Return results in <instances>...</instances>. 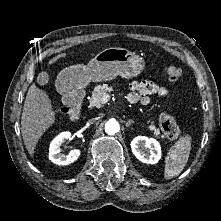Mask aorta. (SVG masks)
Instances as JSON below:
<instances>
[{"label": "aorta", "instance_id": "aorta-1", "mask_svg": "<svg viewBox=\"0 0 221 221\" xmlns=\"http://www.w3.org/2000/svg\"><path fill=\"white\" fill-rule=\"evenodd\" d=\"M120 130L119 123L115 119H110L105 124V132L109 135H115Z\"/></svg>", "mask_w": 221, "mask_h": 221}]
</instances>
